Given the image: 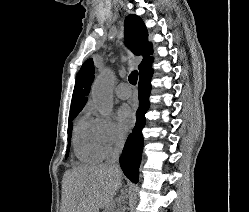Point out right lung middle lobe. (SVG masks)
Masks as SVG:
<instances>
[{
  "mask_svg": "<svg viewBox=\"0 0 249 212\" xmlns=\"http://www.w3.org/2000/svg\"><path fill=\"white\" fill-rule=\"evenodd\" d=\"M82 109L79 110H70V114H69V125H68V148H67V153H66V157L68 156L69 153V148H70V139H71V131H72V120L78 115V113L81 111Z\"/></svg>",
  "mask_w": 249,
  "mask_h": 212,
  "instance_id": "obj_1",
  "label": "right lung middle lobe"
}]
</instances>
